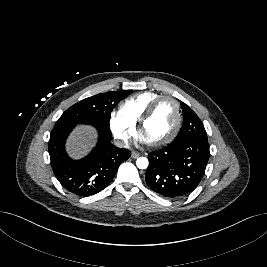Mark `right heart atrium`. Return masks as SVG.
Listing matches in <instances>:
<instances>
[{
  "label": "right heart atrium",
  "mask_w": 267,
  "mask_h": 267,
  "mask_svg": "<svg viewBox=\"0 0 267 267\" xmlns=\"http://www.w3.org/2000/svg\"><path fill=\"white\" fill-rule=\"evenodd\" d=\"M110 128L115 138L122 143H127L135 132V127L123 117L120 111L111 113Z\"/></svg>",
  "instance_id": "1"
}]
</instances>
